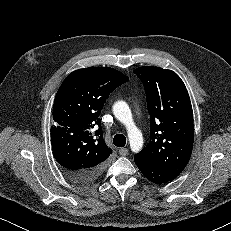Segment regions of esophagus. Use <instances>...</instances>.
I'll return each instance as SVG.
<instances>
[{"label": "esophagus", "mask_w": 231, "mask_h": 231, "mask_svg": "<svg viewBox=\"0 0 231 231\" xmlns=\"http://www.w3.org/2000/svg\"><path fill=\"white\" fill-rule=\"evenodd\" d=\"M119 154L121 156H126L128 154V149L127 148H120L119 149Z\"/></svg>", "instance_id": "1"}]
</instances>
